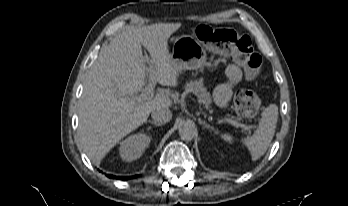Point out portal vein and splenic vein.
<instances>
[{
	"instance_id": "1",
	"label": "portal vein and splenic vein",
	"mask_w": 348,
	"mask_h": 206,
	"mask_svg": "<svg viewBox=\"0 0 348 206\" xmlns=\"http://www.w3.org/2000/svg\"><path fill=\"white\" fill-rule=\"evenodd\" d=\"M155 84H156V79L155 77L153 76H149V81H148V84L145 86V88L143 89L142 93L138 96H135L134 99L138 102H142V101H146L148 99H151L153 98L154 96V87H155ZM227 122V123H230L236 127H239L240 124L231 120V119H219V122Z\"/></svg>"
}]
</instances>
